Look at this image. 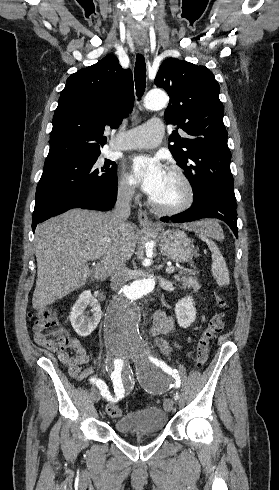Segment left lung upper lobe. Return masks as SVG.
<instances>
[{
    "instance_id": "1",
    "label": "left lung upper lobe",
    "mask_w": 279,
    "mask_h": 490,
    "mask_svg": "<svg viewBox=\"0 0 279 490\" xmlns=\"http://www.w3.org/2000/svg\"><path fill=\"white\" fill-rule=\"evenodd\" d=\"M154 83L170 96L164 113L167 124H177L185 132L186 137L177 131L171 134L169 141L174 144L169 149L186 172L194 198L208 187L234 192L220 87L212 72L204 66L168 58Z\"/></svg>"
}]
</instances>
